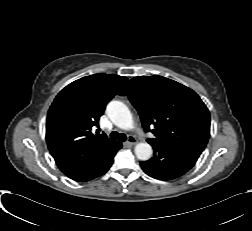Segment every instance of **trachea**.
<instances>
[{"instance_id": "1", "label": "trachea", "mask_w": 252, "mask_h": 231, "mask_svg": "<svg viewBox=\"0 0 252 231\" xmlns=\"http://www.w3.org/2000/svg\"><path fill=\"white\" fill-rule=\"evenodd\" d=\"M110 138L112 140H119L121 142H124L126 141L127 137L124 133H118L117 131H113L111 134H110Z\"/></svg>"}]
</instances>
